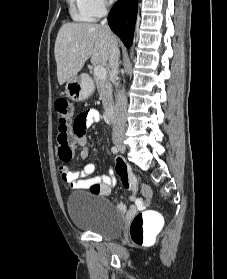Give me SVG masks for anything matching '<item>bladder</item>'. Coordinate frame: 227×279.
<instances>
[{"label":"bladder","instance_id":"obj_1","mask_svg":"<svg viewBox=\"0 0 227 279\" xmlns=\"http://www.w3.org/2000/svg\"><path fill=\"white\" fill-rule=\"evenodd\" d=\"M66 208L72 223L79 228L109 239L118 238L122 234L123 219L102 194L72 193Z\"/></svg>","mask_w":227,"mask_h":279}]
</instances>
